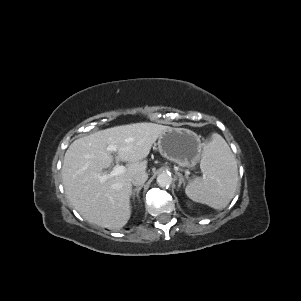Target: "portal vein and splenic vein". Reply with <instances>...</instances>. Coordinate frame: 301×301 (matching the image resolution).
Returning a JSON list of instances; mask_svg holds the SVG:
<instances>
[{"instance_id":"obj_1","label":"portal vein and splenic vein","mask_w":301,"mask_h":301,"mask_svg":"<svg viewBox=\"0 0 301 301\" xmlns=\"http://www.w3.org/2000/svg\"><path fill=\"white\" fill-rule=\"evenodd\" d=\"M107 150L112 152H116L117 151V147L115 145H109L107 147ZM125 171V167L123 165H116L113 170L108 173V174H103L102 176H100L101 179H106L108 177H114V176H117V175H120L122 173H124Z\"/></svg>"}]
</instances>
